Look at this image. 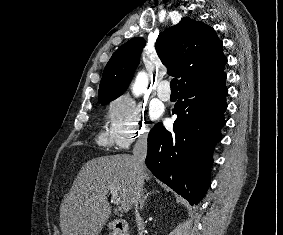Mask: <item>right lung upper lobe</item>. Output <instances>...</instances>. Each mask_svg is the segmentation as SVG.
<instances>
[{
	"label": "right lung upper lobe",
	"instance_id": "cb5924a9",
	"mask_svg": "<svg viewBox=\"0 0 283 235\" xmlns=\"http://www.w3.org/2000/svg\"><path fill=\"white\" fill-rule=\"evenodd\" d=\"M143 45L142 38H133L114 52L100 82V103L116 99L127 89ZM222 46L212 27L189 17L160 33L155 44L168 73L180 78L179 88L222 72L227 63Z\"/></svg>",
	"mask_w": 283,
	"mask_h": 235
}]
</instances>
